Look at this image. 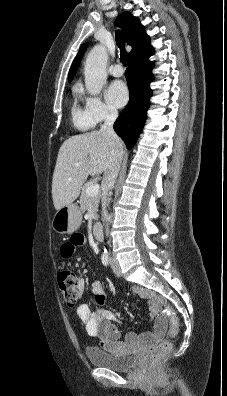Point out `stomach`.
<instances>
[{
    "label": "stomach",
    "instance_id": "obj_1",
    "mask_svg": "<svg viewBox=\"0 0 227 396\" xmlns=\"http://www.w3.org/2000/svg\"><path fill=\"white\" fill-rule=\"evenodd\" d=\"M82 220V214L76 204H70L57 210L52 220L53 229L60 234L76 231Z\"/></svg>",
    "mask_w": 227,
    "mask_h": 396
}]
</instances>
